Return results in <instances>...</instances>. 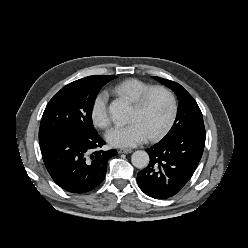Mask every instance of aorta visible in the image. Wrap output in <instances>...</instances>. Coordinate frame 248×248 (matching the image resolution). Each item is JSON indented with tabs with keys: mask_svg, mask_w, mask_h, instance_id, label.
Segmentation results:
<instances>
[{
	"mask_svg": "<svg viewBox=\"0 0 248 248\" xmlns=\"http://www.w3.org/2000/svg\"><path fill=\"white\" fill-rule=\"evenodd\" d=\"M130 112L129 105L122 100H114L109 106V113L114 120L123 122L128 118ZM149 155L146 151H135L131 156L134 167L144 169L149 164Z\"/></svg>",
	"mask_w": 248,
	"mask_h": 248,
	"instance_id": "aorta-1",
	"label": "aorta"
}]
</instances>
